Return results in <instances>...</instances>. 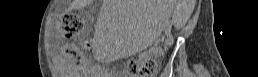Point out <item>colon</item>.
<instances>
[{
    "label": "colon",
    "mask_w": 258,
    "mask_h": 77,
    "mask_svg": "<svg viewBox=\"0 0 258 77\" xmlns=\"http://www.w3.org/2000/svg\"><path fill=\"white\" fill-rule=\"evenodd\" d=\"M83 27L81 16L68 13L63 15L60 20L59 32L63 37L74 38L82 32ZM157 68V61L153 58L133 59L129 63V74L133 77H151L155 74Z\"/></svg>",
    "instance_id": "obj_1"
}]
</instances>
